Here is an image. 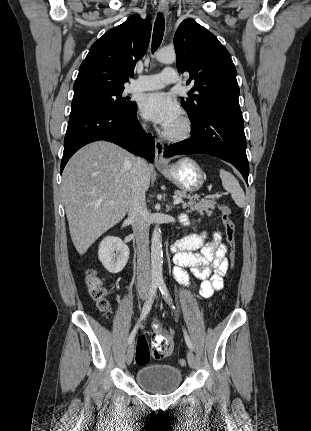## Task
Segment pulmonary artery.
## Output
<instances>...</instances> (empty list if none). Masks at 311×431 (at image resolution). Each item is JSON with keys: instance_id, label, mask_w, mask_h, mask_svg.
I'll return each instance as SVG.
<instances>
[{"instance_id": "e3ab8cb5", "label": "pulmonary artery", "mask_w": 311, "mask_h": 431, "mask_svg": "<svg viewBox=\"0 0 311 431\" xmlns=\"http://www.w3.org/2000/svg\"><path fill=\"white\" fill-rule=\"evenodd\" d=\"M179 81L175 71L172 68H165L160 73L151 75H142L130 84V92L151 91L165 87Z\"/></svg>"}]
</instances>
